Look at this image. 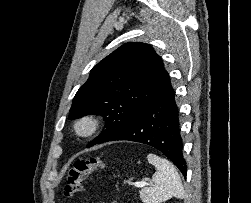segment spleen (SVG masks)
<instances>
[{"label": "spleen", "instance_id": "obj_1", "mask_svg": "<svg viewBox=\"0 0 251 203\" xmlns=\"http://www.w3.org/2000/svg\"><path fill=\"white\" fill-rule=\"evenodd\" d=\"M147 159L157 171L152 177L153 187L140 191L141 200L144 203H161L172 197L184 198L185 191L175 166L154 154H149Z\"/></svg>", "mask_w": 251, "mask_h": 203}]
</instances>
